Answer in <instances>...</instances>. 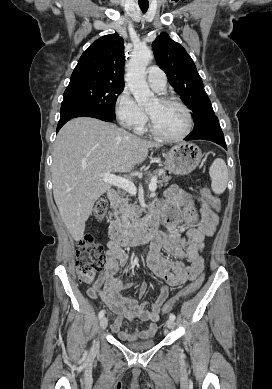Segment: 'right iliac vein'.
Returning <instances> with one entry per match:
<instances>
[{
  "mask_svg": "<svg viewBox=\"0 0 272 389\" xmlns=\"http://www.w3.org/2000/svg\"><path fill=\"white\" fill-rule=\"evenodd\" d=\"M107 325H108V319H107V317H103L100 320V330L101 331L105 330ZM96 346H98V341L96 342Z\"/></svg>",
  "mask_w": 272,
  "mask_h": 389,
  "instance_id": "1",
  "label": "right iliac vein"
}]
</instances>
